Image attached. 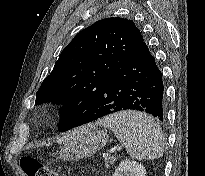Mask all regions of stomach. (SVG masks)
<instances>
[{
	"mask_svg": "<svg viewBox=\"0 0 205 176\" xmlns=\"http://www.w3.org/2000/svg\"><path fill=\"white\" fill-rule=\"evenodd\" d=\"M108 138L107 132L96 130V124L87 125L76 138L64 143L59 151L60 159L72 161L90 157L106 145Z\"/></svg>",
	"mask_w": 205,
	"mask_h": 176,
	"instance_id": "obj_1",
	"label": "stomach"
}]
</instances>
